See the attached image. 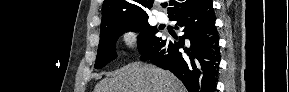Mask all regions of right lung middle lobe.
<instances>
[{
    "instance_id": "obj_1",
    "label": "right lung middle lobe",
    "mask_w": 289,
    "mask_h": 92,
    "mask_svg": "<svg viewBox=\"0 0 289 92\" xmlns=\"http://www.w3.org/2000/svg\"><path fill=\"white\" fill-rule=\"evenodd\" d=\"M127 31L141 32L138 36L139 52L143 53L153 43L160 39L156 36V27H150L148 18L135 21L116 23L100 32V42L95 62L96 69L104 67L108 62L116 58L115 43L117 38Z\"/></svg>"
}]
</instances>
